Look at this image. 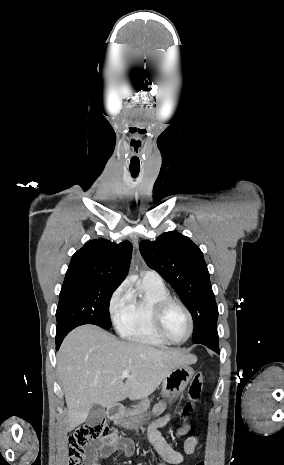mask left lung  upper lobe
<instances>
[{
	"label": "left lung upper lobe",
	"mask_w": 284,
	"mask_h": 465,
	"mask_svg": "<svg viewBox=\"0 0 284 465\" xmlns=\"http://www.w3.org/2000/svg\"><path fill=\"white\" fill-rule=\"evenodd\" d=\"M139 247L147 265L171 284L190 311L192 342L217 337L218 308L200 248L176 232L163 233L155 241H141Z\"/></svg>",
	"instance_id": "1"
}]
</instances>
